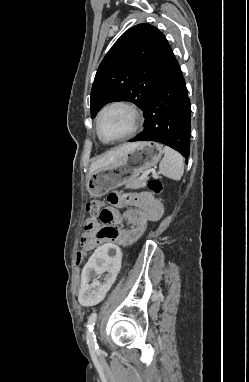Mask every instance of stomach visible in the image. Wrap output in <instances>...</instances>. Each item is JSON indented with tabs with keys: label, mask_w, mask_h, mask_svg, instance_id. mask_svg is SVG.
Masks as SVG:
<instances>
[{
	"label": "stomach",
	"mask_w": 249,
	"mask_h": 382,
	"mask_svg": "<svg viewBox=\"0 0 249 382\" xmlns=\"http://www.w3.org/2000/svg\"><path fill=\"white\" fill-rule=\"evenodd\" d=\"M163 153L157 142H139L115 163L96 170L88 179L87 190L93 197H101L125 184L131 177L157 165Z\"/></svg>",
	"instance_id": "obj_1"
}]
</instances>
